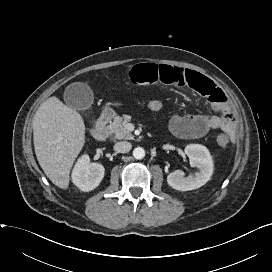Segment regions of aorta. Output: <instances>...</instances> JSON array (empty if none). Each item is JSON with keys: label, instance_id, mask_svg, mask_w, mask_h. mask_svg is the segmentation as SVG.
<instances>
[{"label": "aorta", "instance_id": "762f6f07", "mask_svg": "<svg viewBox=\"0 0 272 272\" xmlns=\"http://www.w3.org/2000/svg\"><path fill=\"white\" fill-rule=\"evenodd\" d=\"M133 157L138 160L143 159L145 157V150L142 147H136L133 150Z\"/></svg>", "mask_w": 272, "mask_h": 272}]
</instances>
